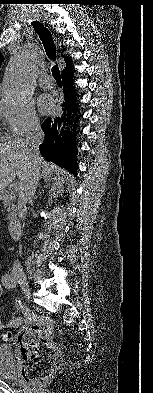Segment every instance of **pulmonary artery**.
<instances>
[{
    "label": "pulmonary artery",
    "instance_id": "e3ab8cb5",
    "mask_svg": "<svg viewBox=\"0 0 153 393\" xmlns=\"http://www.w3.org/2000/svg\"><path fill=\"white\" fill-rule=\"evenodd\" d=\"M40 86L43 87L44 89H49L53 85V79L50 75L48 74H43L41 75L39 79Z\"/></svg>",
    "mask_w": 153,
    "mask_h": 393
}]
</instances>
